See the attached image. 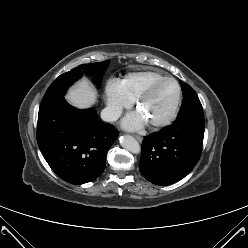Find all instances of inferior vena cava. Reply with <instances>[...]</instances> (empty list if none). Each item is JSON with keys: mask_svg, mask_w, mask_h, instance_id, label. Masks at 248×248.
Returning a JSON list of instances; mask_svg holds the SVG:
<instances>
[{"mask_svg": "<svg viewBox=\"0 0 248 248\" xmlns=\"http://www.w3.org/2000/svg\"><path fill=\"white\" fill-rule=\"evenodd\" d=\"M121 115V111L116 108L106 107L101 112V118L107 122H113L118 120Z\"/></svg>", "mask_w": 248, "mask_h": 248, "instance_id": "inferior-vena-cava-1", "label": "inferior vena cava"}]
</instances>
